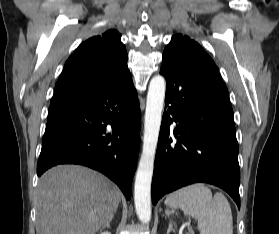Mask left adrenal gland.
I'll list each match as a JSON object with an SVG mask.
<instances>
[{"mask_svg":"<svg viewBox=\"0 0 279 234\" xmlns=\"http://www.w3.org/2000/svg\"><path fill=\"white\" fill-rule=\"evenodd\" d=\"M171 231L174 232L175 230H174V228H173V223L170 221V222H169L168 229H167V234H169Z\"/></svg>","mask_w":279,"mask_h":234,"instance_id":"obj_1","label":"left adrenal gland"}]
</instances>
